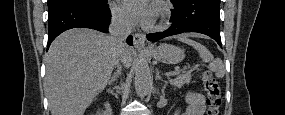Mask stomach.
Segmentation results:
<instances>
[{"label":"stomach","mask_w":285,"mask_h":115,"mask_svg":"<svg viewBox=\"0 0 285 115\" xmlns=\"http://www.w3.org/2000/svg\"><path fill=\"white\" fill-rule=\"evenodd\" d=\"M151 54L154 59L165 64H177L185 57L183 49L170 44L159 45L151 50Z\"/></svg>","instance_id":"obj_1"}]
</instances>
